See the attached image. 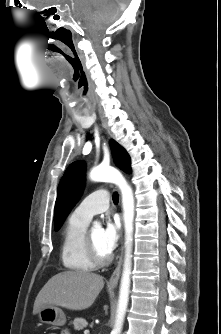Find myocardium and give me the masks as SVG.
I'll return each instance as SVG.
<instances>
[{"label":"myocardium","mask_w":221,"mask_h":334,"mask_svg":"<svg viewBox=\"0 0 221 334\" xmlns=\"http://www.w3.org/2000/svg\"><path fill=\"white\" fill-rule=\"evenodd\" d=\"M85 249L87 251L89 258L96 266H105L112 261L113 256L111 253L103 255L98 251L97 247L95 246V243L92 240L90 231L85 232Z\"/></svg>","instance_id":"f54148a6"}]
</instances>
